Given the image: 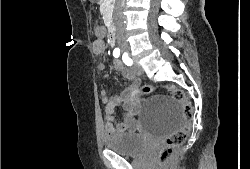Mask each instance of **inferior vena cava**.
<instances>
[{"label":"inferior vena cava","mask_w":250,"mask_h":169,"mask_svg":"<svg viewBox=\"0 0 250 169\" xmlns=\"http://www.w3.org/2000/svg\"><path fill=\"white\" fill-rule=\"evenodd\" d=\"M125 0H115L114 12H113V22L115 24V28L118 30H124L125 22H124V14H123V6Z\"/></svg>","instance_id":"obj_1"}]
</instances>
